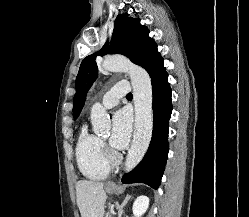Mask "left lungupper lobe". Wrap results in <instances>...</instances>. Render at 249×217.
Wrapping results in <instances>:
<instances>
[{
	"label": "left lung upper lobe",
	"instance_id": "1",
	"mask_svg": "<svg viewBox=\"0 0 249 217\" xmlns=\"http://www.w3.org/2000/svg\"><path fill=\"white\" fill-rule=\"evenodd\" d=\"M107 53L122 54L133 63L143 67L149 74L163 60L156 43L149 37L148 28L140 24V19L128 17V14L118 15L110 46L107 42L99 52L85 57L80 65L73 106L75 119L84 106L88 90L97 78L96 56H103Z\"/></svg>",
	"mask_w": 249,
	"mask_h": 217
}]
</instances>
